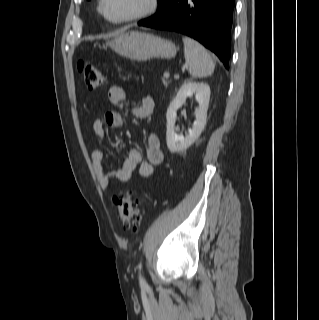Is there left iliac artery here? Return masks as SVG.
I'll return each mask as SVG.
<instances>
[{
  "label": "left iliac artery",
  "mask_w": 319,
  "mask_h": 320,
  "mask_svg": "<svg viewBox=\"0 0 319 320\" xmlns=\"http://www.w3.org/2000/svg\"><path fill=\"white\" fill-rule=\"evenodd\" d=\"M139 270H141V265H139ZM139 283H140V286H146V281L144 280V278L141 276V274H139Z\"/></svg>",
  "instance_id": "1"
}]
</instances>
